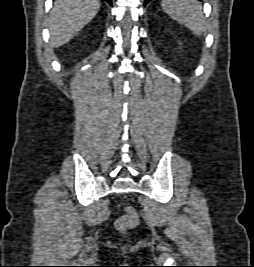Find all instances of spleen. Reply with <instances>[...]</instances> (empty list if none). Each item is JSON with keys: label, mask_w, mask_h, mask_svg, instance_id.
Segmentation results:
<instances>
[{"label": "spleen", "mask_w": 254, "mask_h": 267, "mask_svg": "<svg viewBox=\"0 0 254 267\" xmlns=\"http://www.w3.org/2000/svg\"><path fill=\"white\" fill-rule=\"evenodd\" d=\"M163 10L177 22L184 24L195 35L206 32L202 5L197 0H162Z\"/></svg>", "instance_id": "spleen-1"}]
</instances>
